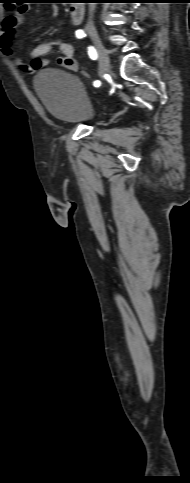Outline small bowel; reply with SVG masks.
I'll use <instances>...</instances> for the list:
<instances>
[{"label":"small bowel","instance_id":"obj_1","mask_svg":"<svg viewBox=\"0 0 190 483\" xmlns=\"http://www.w3.org/2000/svg\"><path fill=\"white\" fill-rule=\"evenodd\" d=\"M29 10L28 6L20 5L13 13L6 15L0 27V48L12 62L27 73H35L42 67L47 66L51 60L43 58L47 54L57 50L62 56L55 59V64L71 72L78 70V64L74 58L75 48L72 44L62 39H50L37 44L31 51V61H23L13 51V35L16 29L23 23L24 16ZM58 11L52 9V16L56 17Z\"/></svg>","mask_w":190,"mask_h":483}]
</instances>
